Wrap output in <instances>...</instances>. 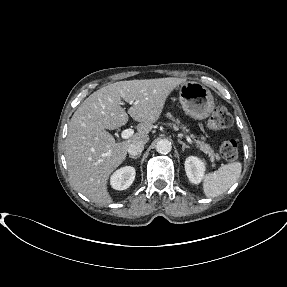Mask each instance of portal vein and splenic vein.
Masks as SVG:
<instances>
[{
  "mask_svg": "<svg viewBox=\"0 0 287 287\" xmlns=\"http://www.w3.org/2000/svg\"><path fill=\"white\" fill-rule=\"evenodd\" d=\"M134 134L133 129H125L121 132V137L123 139H128L130 137H132ZM186 140L193 145V141L191 140V138L189 136H186Z\"/></svg>",
  "mask_w": 287,
  "mask_h": 287,
  "instance_id": "18ae733b",
  "label": "portal vein and splenic vein"
}]
</instances>
